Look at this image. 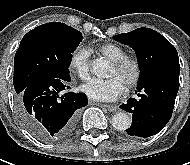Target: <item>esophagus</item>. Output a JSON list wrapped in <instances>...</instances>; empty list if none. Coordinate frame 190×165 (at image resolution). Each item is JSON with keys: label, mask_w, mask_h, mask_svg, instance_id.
Instances as JSON below:
<instances>
[{"label": "esophagus", "mask_w": 190, "mask_h": 165, "mask_svg": "<svg viewBox=\"0 0 190 165\" xmlns=\"http://www.w3.org/2000/svg\"><path fill=\"white\" fill-rule=\"evenodd\" d=\"M98 105H100L101 107L106 108L110 112H115V111L118 110V108L116 106H114V105H109V104H98Z\"/></svg>", "instance_id": "1"}]
</instances>
